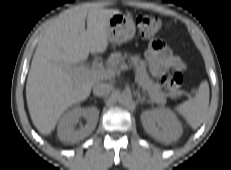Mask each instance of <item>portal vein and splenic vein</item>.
I'll use <instances>...</instances> for the list:
<instances>
[{"instance_id": "obj_1", "label": "portal vein and splenic vein", "mask_w": 231, "mask_h": 170, "mask_svg": "<svg viewBox=\"0 0 231 170\" xmlns=\"http://www.w3.org/2000/svg\"><path fill=\"white\" fill-rule=\"evenodd\" d=\"M120 69L121 70H127L128 65L122 64ZM70 71L80 72L82 74H89V75H92L98 79H110V78L115 77V74H116V72L114 70H111V69H105L103 67H99L97 69L90 70L84 65H81V66L75 67V68H70Z\"/></svg>"}]
</instances>
